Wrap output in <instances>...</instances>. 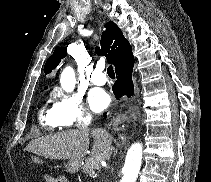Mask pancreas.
I'll list each match as a JSON object with an SVG mask.
<instances>
[{
    "instance_id": "obj_1",
    "label": "pancreas",
    "mask_w": 211,
    "mask_h": 182,
    "mask_svg": "<svg viewBox=\"0 0 211 182\" xmlns=\"http://www.w3.org/2000/svg\"><path fill=\"white\" fill-rule=\"evenodd\" d=\"M108 151H104L101 153H97L95 155H92L90 158L86 159L84 166L82 167V172L89 175L90 177H93L92 172L94 170L100 169V162L102 160H106L108 157Z\"/></svg>"
}]
</instances>
